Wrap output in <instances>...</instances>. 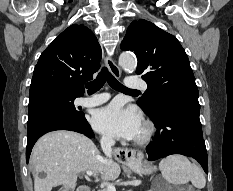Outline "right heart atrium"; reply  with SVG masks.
Returning a JSON list of instances; mask_svg holds the SVG:
<instances>
[{"mask_svg": "<svg viewBox=\"0 0 233 191\" xmlns=\"http://www.w3.org/2000/svg\"><path fill=\"white\" fill-rule=\"evenodd\" d=\"M101 141H102V144L104 145H107L110 143V140L107 137H102Z\"/></svg>", "mask_w": 233, "mask_h": 191, "instance_id": "d8ad5b80", "label": "right heart atrium"}]
</instances>
